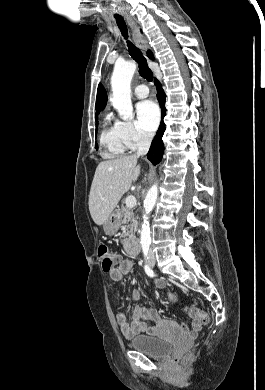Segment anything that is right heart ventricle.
Masks as SVG:
<instances>
[{"label": "right heart ventricle", "mask_w": 265, "mask_h": 390, "mask_svg": "<svg viewBox=\"0 0 265 390\" xmlns=\"http://www.w3.org/2000/svg\"><path fill=\"white\" fill-rule=\"evenodd\" d=\"M100 143L102 146V155L106 158L119 157L128 148L123 140L119 122L114 121L110 114H107L104 118Z\"/></svg>", "instance_id": "1"}]
</instances>
